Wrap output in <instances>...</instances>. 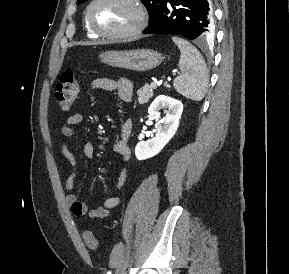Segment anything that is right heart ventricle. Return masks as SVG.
Returning a JSON list of instances; mask_svg holds the SVG:
<instances>
[{
	"instance_id": "1",
	"label": "right heart ventricle",
	"mask_w": 289,
	"mask_h": 274,
	"mask_svg": "<svg viewBox=\"0 0 289 274\" xmlns=\"http://www.w3.org/2000/svg\"><path fill=\"white\" fill-rule=\"evenodd\" d=\"M84 26H85V29H86L88 35H89L90 37H95V34L89 29L86 21H85V23H84Z\"/></svg>"
}]
</instances>
